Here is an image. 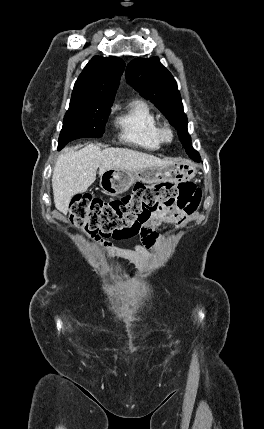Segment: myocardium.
<instances>
[{
  "mask_svg": "<svg viewBox=\"0 0 264 429\" xmlns=\"http://www.w3.org/2000/svg\"><path fill=\"white\" fill-rule=\"evenodd\" d=\"M158 135L162 142L169 143L174 138V131L169 124L165 123V124L159 125Z\"/></svg>",
  "mask_w": 264,
  "mask_h": 429,
  "instance_id": "1",
  "label": "myocardium"
}]
</instances>
